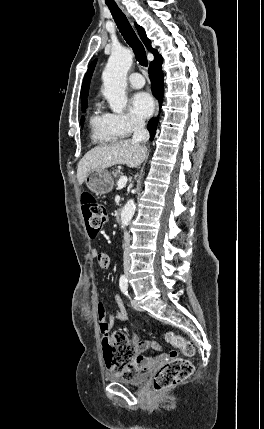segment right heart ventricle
I'll return each instance as SVG.
<instances>
[{
    "label": "right heart ventricle",
    "instance_id": "obj_1",
    "mask_svg": "<svg viewBox=\"0 0 264 429\" xmlns=\"http://www.w3.org/2000/svg\"><path fill=\"white\" fill-rule=\"evenodd\" d=\"M91 139L100 144L116 142L121 138L113 125L111 115L96 105L89 119Z\"/></svg>",
    "mask_w": 264,
    "mask_h": 429
}]
</instances>
